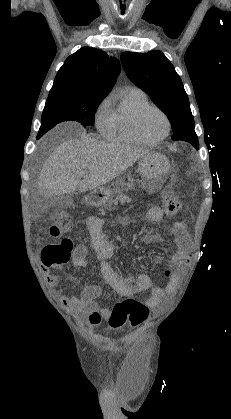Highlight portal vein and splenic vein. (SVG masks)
Listing matches in <instances>:
<instances>
[{"label":"portal vein and splenic vein","instance_id":"portal-vein-and-splenic-vein-1","mask_svg":"<svg viewBox=\"0 0 231 419\" xmlns=\"http://www.w3.org/2000/svg\"><path fill=\"white\" fill-rule=\"evenodd\" d=\"M85 175H87V171H82L78 174V177H83Z\"/></svg>","mask_w":231,"mask_h":419}]
</instances>
